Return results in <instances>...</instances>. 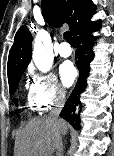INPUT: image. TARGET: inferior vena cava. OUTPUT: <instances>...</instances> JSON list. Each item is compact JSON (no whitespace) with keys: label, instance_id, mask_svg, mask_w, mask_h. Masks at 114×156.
Masks as SVG:
<instances>
[{"label":"inferior vena cava","instance_id":"inferior-vena-cava-1","mask_svg":"<svg viewBox=\"0 0 114 156\" xmlns=\"http://www.w3.org/2000/svg\"><path fill=\"white\" fill-rule=\"evenodd\" d=\"M65 103V94L61 91L57 92L54 101V107L50 111L49 117L55 121H59V114Z\"/></svg>","mask_w":114,"mask_h":156}]
</instances>
